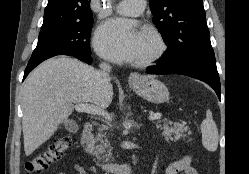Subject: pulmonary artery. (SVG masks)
<instances>
[{"label":"pulmonary artery","mask_w":249,"mask_h":174,"mask_svg":"<svg viewBox=\"0 0 249 174\" xmlns=\"http://www.w3.org/2000/svg\"><path fill=\"white\" fill-rule=\"evenodd\" d=\"M145 7V0H123L119 2L115 9L125 15H137L142 12Z\"/></svg>","instance_id":"1"}]
</instances>
